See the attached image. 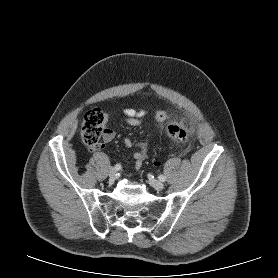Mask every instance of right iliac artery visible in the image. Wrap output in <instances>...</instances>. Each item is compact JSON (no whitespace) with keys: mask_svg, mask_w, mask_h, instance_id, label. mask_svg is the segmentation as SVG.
<instances>
[{"mask_svg":"<svg viewBox=\"0 0 278 278\" xmlns=\"http://www.w3.org/2000/svg\"><path fill=\"white\" fill-rule=\"evenodd\" d=\"M115 169H116V170H120V169H121V165H120V164H116V165H115Z\"/></svg>","mask_w":278,"mask_h":278,"instance_id":"obj_1","label":"right iliac artery"}]
</instances>
